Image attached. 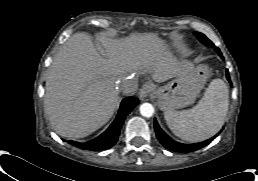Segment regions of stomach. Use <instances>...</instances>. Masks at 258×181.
I'll return each instance as SVG.
<instances>
[{
	"instance_id": "obj_1",
	"label": "stomach",
	"mask_w": 258,
	"mask_h": 181,
	"mask_svg": "<svg viewBox=\"0 0 258 181\" xmlns=\"http://www.w3.org/2000/svg\"><path fill=\"white\" fill-rule=\"evenodd\" d=\"M209 76L206 66H198L185 76H180L166 85L155 88L157 103L162 111H174L192 104Z\"/></svg>"
}]
</instances>
